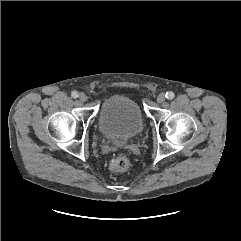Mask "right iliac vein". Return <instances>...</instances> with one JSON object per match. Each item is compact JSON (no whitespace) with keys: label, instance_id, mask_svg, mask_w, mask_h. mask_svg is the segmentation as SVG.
Segmentation results:
<instances>
[{"label":"right iliac vein","instance_id":"1","mask_svg":"<svg viewBox=\"0 0 241 241\" xmlns=\"http://www.w3.org/2000/svg\"><path fill=\"white\" fill-rule=\"evenodd\" d=\"M78 97H79V100L82 102H85L87 100V96L84 93H80Z\"/></svg>","mask_w":241,"mask_h":241}]
</instances>
